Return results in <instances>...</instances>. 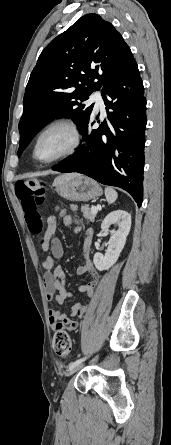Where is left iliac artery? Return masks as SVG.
Masks as SVG:
<instances>
[{
  "label": "left iliac artery",
  "instance_id": "44dca946",
  "mask_svg": "<svg viewBox=\"0 0 171 445\" xmlns=\"http://www.w3.org/2000/svg\"><path fill=\"white\" fill-rule=\"evenodd\" d=\"M85 359H86V357H85V358H80V359H78V360H76V361H74V362H71V363L69 364V370H71V369H73L74 367H76L77 365L81 364Z\"/></svg>",
  "mask_w": 171,
  "mask_h": 445
}]
</instances>
